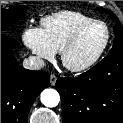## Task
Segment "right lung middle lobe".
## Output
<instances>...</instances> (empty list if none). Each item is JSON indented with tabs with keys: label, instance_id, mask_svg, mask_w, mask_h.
Returning a JSON list of instances; mask_svg holds the SVG:
<instances>
[{
	"label": "right lung middle lobe",
	"instance_id": "1",
	"mask_svg": "<svg viewBox=\"0 0 123 123\" xmlns=\"http://www.w3.org/2000/svg\"><path fill=\"white\" fill-rule=\"evenodd\" d=\"M26 9L25 6L1 9V31L5 30L7 26L14 21L23 18Z\"/></svg>",
	"mask_w": 123,
	"mask_h": 123
}]
</instances>
